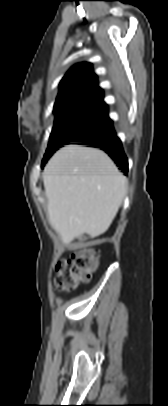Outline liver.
I'll list each match as a JSON object with an SVG mask.
<instances>
[{
  "mask_svg": "<svg viewBox=\"0 0 168 406\" xmlns=\"http://www.w3.org/2000/svg\"><path fill=\"white\" fill-rule=\"evenodd\" d=\"M48 219L64 244L105 233L126 193V178L103 151L79 145L58 150L43 171Z\"/></svg>",
  "mask_w": 168,
  "mask_h": 406,
  "instance_id": "obj_1",
  "label": "liver"
}]
</instances>
